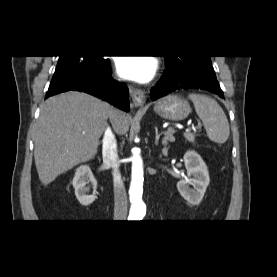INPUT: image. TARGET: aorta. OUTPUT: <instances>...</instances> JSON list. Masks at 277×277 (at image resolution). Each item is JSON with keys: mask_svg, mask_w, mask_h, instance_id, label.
Segmentation results:
<instances>
[{"mask_svg": "<svg viewBox=\"0 0 277 277\" xmlns=\"http://www.w3.org/2000/svg\"><path fill=\"white\" fill-rule=\"evenodd\" d=\"M132 153V173L129 188L131 208L129 218L131 220H140L146 213V206L142 200L144 181L143 162L138 149L132 150Z\"/></svg>", "mask_w": 277, "mask_h": 277, "instance_id": "1", "label": "aorta"}]
</instances>
